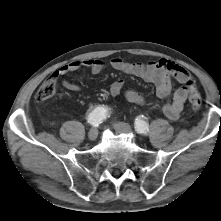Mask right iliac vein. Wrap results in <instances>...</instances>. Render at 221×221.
Returning a JSON list of instances; mask_svg holds the SVG:
<instances>
[{"instance_id": "63e3f726", "label": "right iliac vein", "mask_w": 221, "mask_h": 221, "mask_svg": "<svg viewBox=\"0 0 221 221\" xmlns=\"http://www.w3.org/2000/svg\"><path fill=\"white\" fill-rule=\"evenodd\" d=\"M98 136V130L97 128H92L90 129V131L88 132V138L91 140V141H94L96 140Z\"/></svg>"}]
</instances>
